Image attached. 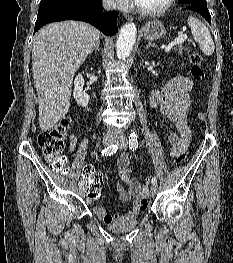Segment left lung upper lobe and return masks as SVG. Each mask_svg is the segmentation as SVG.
Here are the masks:
<instances>
[{"instance_id": "1", "label": "left lung upper lobe", "mask_w": 233, "mask_h": 263, "mask_svg": "<svg viewBox=\"0 0 233 263\" xmlns=\"http://www.w3.org/2000/svg\"><path fill=\"white\" fill-rule=\"evenodd\" d=\"M178 1L183 5H189V4L207 5L206 0H178Z\"/></svg>"}]
</instances>
